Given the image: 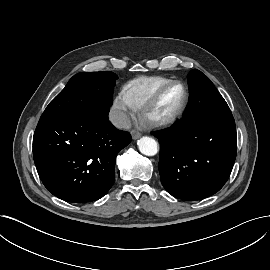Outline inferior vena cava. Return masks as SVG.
Listing matches in <instances>:
<instances>
[{
	"mask_svg": "<svg viewBox=\"0 0 270 270\" xmlns=\"http://www.w3.org/2000/svg\"><path fill=\"white\" fill-rule=\"evenodd\" d=\"M109 119L112 122V124L118 129L131 128L130 118L122 111L111 110L109 113Z\"/></svg>",
	"mask_w": 270,
	"mask_h": 270,
	"instance_id": "1",
	"label": "inferior vena cava"
}]
</instances>
